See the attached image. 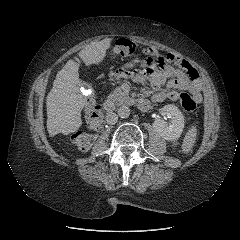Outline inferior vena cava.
Returning a JSON list of instances; mask_svg holds the SVG:
<instances>
[{
    "label": "inferior vena cava",
    "mask_w": 240,
    "mask_h": 240,
    "mask_svg": "<svg viewBox=\"0 0 240 240\" xmlns=\"http://www.w3.org/2000/svg\"><path fill=\"white\" fill-rule=\"evenodd\" d=\"M118 121V116L116 113L110 112L106 115V122L107 124H115Z\"/></svg>",
    "instance_id": "1"
}]
</instances>
